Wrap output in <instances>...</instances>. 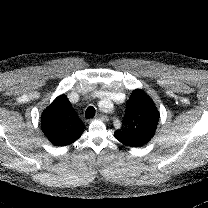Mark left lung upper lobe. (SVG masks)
I'll use <instances>...</instances> for the list:
<instances>
[{"instance_id": "left-lung-upper-lobe-1", "label": "left lung upper lobe", "mask_w": 208, "mask_h": 208, "mask_svg": "<svg viewBox=\"0 0 208 208\" xmlns=\"http://www.w3.org/2000/svg\"><path fill=\"white\" fill-rule=\"evenodd\" d=\"M158 121L159 112L152 99L136 89L126 102L123 126L114 132V137L126 146H143L154 136Z\"/></svg>"}]
</instances>
